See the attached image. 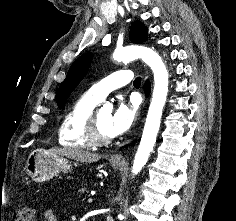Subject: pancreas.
I'll use <instances>...</instances> for the list:
<instances>
[{
  "label": "pancreas",
  "mask_w": 236,
  "mask_h": 221,
  "mask_svg": "<svg viewBox=\"0 0 236 221\" xmlns=\"http://www.w3.org/2000/svg\"><path fill=\"white\" fill-rule=\"evenodd\" d=\"M85 191H86V189L82 187L81 189L78 190V193L82 194Z\"/></svg>",
  "instance_id": "obj_1"
}]
</instances>
